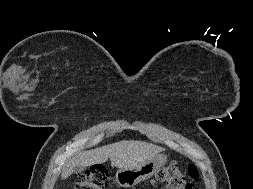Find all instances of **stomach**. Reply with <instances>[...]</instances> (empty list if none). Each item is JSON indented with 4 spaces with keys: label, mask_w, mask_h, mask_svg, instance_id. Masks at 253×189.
Listing matches in <instances>:
<instances>
[{
    "label": "stomach",
    "mask_w": 253,
    "mask_h": 189,
    "mask_svg": "<svg viewBox=\"0 0 253 189\" xmlns=\"http://www.w3.org/2000/svg\"><path fill=\"white\" fill-rule=\"evenodd\" d=\"M167 162V157L158 154L154 158L135 168H122L116 173V182L119 186L129 188L147 180Z\"/></svg>",
    "instance_id": "1"
}]
</instances>
